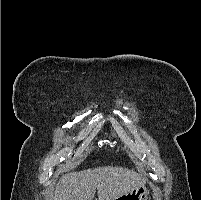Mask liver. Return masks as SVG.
Listing matches in <instances>:
<instances>
[{
  "label": "liver",
  "instance_id": "liver-1",
  "mask_svg": "<svg viewBox=\"0 0 201 200\" xmlns=\"http://www.w3.org/2000/svg\"><path fill=\"white\" fill-rule=\"evenodd\" d=\"M146 182L134 170L118 166L97 167L63 176L52 200H114Z\"/></svg>",
  "mask_w": 201,
  "mask_h": 200
}]
</instances>
